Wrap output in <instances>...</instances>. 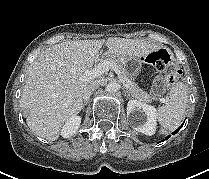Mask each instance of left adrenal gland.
Returning <instances> with one entry per match:
<instances>
[{
	"label": "left adrenal gland",
	"instance_id": "obj_1",
	"mask_svg": "<svg viewBox=\"0 0 209 179\" xmlns=\"http://www.w3.org/2000/svg\"><path fill=\"white\" fill-rule=\"evenodd\" d=\"M125 96H126L127 98H130V94H129L128 90H126ZM130 99H131V98H130Z\"/></svg>",
	"mask_w": 209,
	"mask_h": 179
}]
</instances>
